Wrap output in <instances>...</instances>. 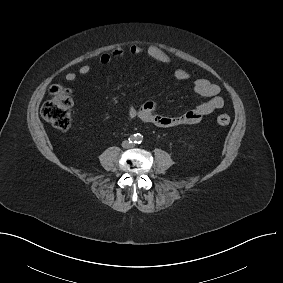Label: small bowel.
<instances>
[{
    "label": "small bowel",
    "instance_id": "1",
    "mask_svg": "<svg viewBox=\"0 0 283 283\" xmlns=\"http://www.w3.org/2000/svg\"><path fill=\"white\" fill-rule=\"evenodd\" d=\"M128 52L132 55L146 54L150 58L164 64H170L172 62V58L169 54L154 45L145 47L143 45L133 44L128 48ZM124 55L125 50L121 47H118L111 52H105L101 54L99 61L101 64L107 65L112 61L123 57ZM90 71L91 67L89 65H82L78 69V74L87 75L90 73ZM173 75L178 81H186L190 78V73L185 69H177ZM65 79L68 82H73L77 79V74L74 72H69L66 74ZM193 92L201 97L206 98L207 100L179 116L160 114L157 111L156 103L153 101H147L139 107L130 106L129 116L131 118L140 119L145 123H149L157 127L170 128L196 124L205 116L218 109H221L224 106V100L220 94L219 86L207 79H197L193 84Z\"/></svg>",
    "mask_w": 283,
    "mask_h": 283
}]
</instances>
